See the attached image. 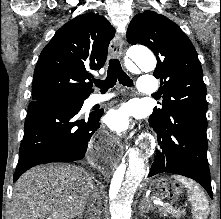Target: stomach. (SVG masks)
I'll use <instances>...</instances> for the list:
<instances>
[{"label": "stomach", "instance_id": "obj_1", "mask_svg": "<svg viewBox=\"0 0 221 219\" xmlns=\"http://www.w3.org/2000/svg\"><path fill=\"white\" fill-rule=\"evenodd\" d=\"M163 179H156L152 182L154 195H158V199H167L169 195H179V190H169L167 182Z\"/></svg>", "mask_w": 221, "mask_h": 219}]
</instances>
